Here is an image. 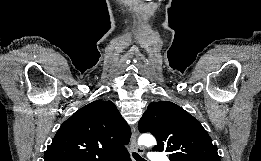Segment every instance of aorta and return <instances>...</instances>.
<instances>
[{"label":"aorta","instance_id":"762f6f07","mask_svg":"<svg viewBox=\"0 0 261 161\" xmlns=\"http://www.w3.org/2000/svg\"><path fill=\"white\" fill-rule=\"evenodd\" d=\"M139 144L150 147L156 144V140L150 134H143L139 137Z\"/></svg>","mask_w":261,"mask_h":161}]
</instances>
